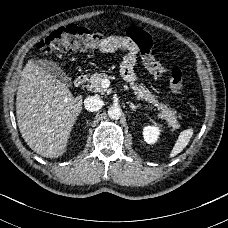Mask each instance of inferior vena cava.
I'll list each match as a JSON object with an SVG mask.
<instances>
[{"label":"inferior vena cava","mask_w":228,"mask_h":228,"mask_svg":"<svg viewBox=\"0 0 228 228\" xmlns=\"http://www.w3.org/2000/svg\"><path fill=\"white\" fill-rule=\"evenodd\" d=\"M102 105L103 101L99 96H88L84 100V107L90 112L98 111L99 109H101Z\"/></svg>","instance_id":"602c4592"}]
</instances>
